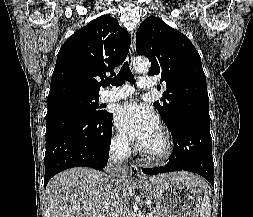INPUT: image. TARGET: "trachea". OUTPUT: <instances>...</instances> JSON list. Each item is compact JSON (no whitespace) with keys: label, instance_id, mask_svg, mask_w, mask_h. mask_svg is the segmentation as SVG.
<instances>
[{"label":"trachea","instance_id":"3493384b","mask_svg":"<svg viewBox=\"0 0 253 217\" xmlns=\"http://www.w3.org/2000/svg\"><path fill=\"white\" fill-rule=\"evenodd\" d=\"M125 81L134 82V76L129 68L128 62L123 64L119 74L115 78L106 81V85L120 86Z\"/></svg>","mask_w":253,"mask_h":217}]
</instances>
